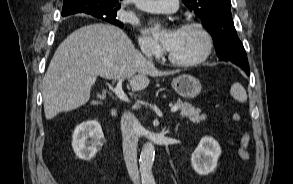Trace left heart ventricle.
I'll return each mask as SVG.
<instances>
[{
    "mask_svg": "<svg viewBox=\"0 0 293 184\" xmlns=\"http://www.w3.org/2000/svg\"><path fill=\"white\" fill-rule=\"evenodd\" d=\"M204 38L195 29H180L178 39L170 53L180 60H192L204 49Z\"/></svg>",
    "mask_w": 293,
    "mask_h": 184,
    "instance_id": "1",
    "label": "left heart ventricle"
}]
</instances>
